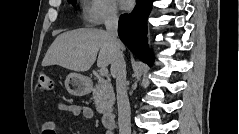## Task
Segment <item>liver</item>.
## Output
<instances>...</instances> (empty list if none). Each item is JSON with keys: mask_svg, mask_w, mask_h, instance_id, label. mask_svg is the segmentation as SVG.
<instances>
[{"mask_svg": "<svg viewBox=\"0 0 239 134\" xmlns=\"http://www.w3.org/2000/svg\"><path fill=\"white\" fill-rule=\"evenodd\" d=\"M98 52L99 67H107L112 63L114 49L108 33L102 29L80 28L57 36L47 50L42 66L59 65L85 72L96 61Z\"/></svg>", "mask_w": 239, "mask_h": 134, "instance_id": "obj_1", "label": "liver"}]
</instances>
